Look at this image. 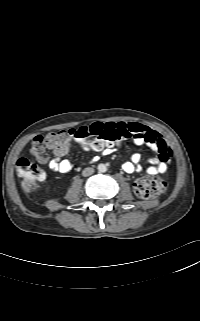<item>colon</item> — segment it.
I'll use <instances>...</instances> for the list:
<instances>
[{
    "mask_svg": "<svg viewBox=\"0 0 200 321\" xmlns=\"http://www.w3.org/2000/svg\"><path fill=\"white\" fill-rule=\"evenodd\" d=\"M127 136V132L122 129L104 127L102 124L81 126L71 131H58L45 136H37L30 147V154L36 161L25 157L18 159L17 174L22 178L24 189L27 192H33L37 183L45 178V173L38 163L48 158L47 149L53 152L62 151L70 137L88 148L101 149L107 143L120 144L127 139ZM165 158H171V153ZM134 190L139 197L152 199L164 193L166 182L160 177L146 176L135 181Z\"/></svg>",
    "mask_w": 200,
    "mask_h": 321,
    "instance_id": "colon-1",
    "label": "colon"
}]
</instances>
